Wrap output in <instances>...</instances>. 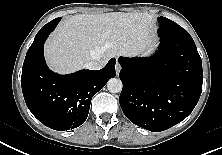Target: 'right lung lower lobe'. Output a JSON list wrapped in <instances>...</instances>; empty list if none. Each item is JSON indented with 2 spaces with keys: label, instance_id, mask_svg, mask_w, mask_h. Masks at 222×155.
<instances>
[{
  "label": "right lung lower lobe",
  "instance_id": "1",
  "mask_svg": "<svg viewBox=\"0 0 222 155\" xmlns=\"http://www.w3.org/2000/svg\"><path fill=\"white\" fill-rule=\"evenodd\" d=\"M57 24L37 33L25 57L21 86L31 113L45 126L64 131L85 122L92 97L115 77L116 60L112 58L98 71L80 70L69 75L52 72L46 65L43 48Z\"/></svg>",
  "mask_w": 222,
  "mask_h": 155
}]
</instances>
